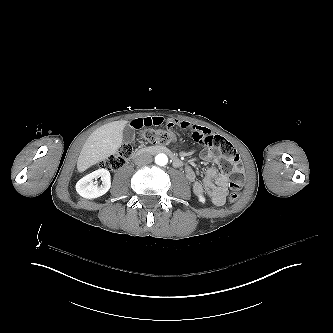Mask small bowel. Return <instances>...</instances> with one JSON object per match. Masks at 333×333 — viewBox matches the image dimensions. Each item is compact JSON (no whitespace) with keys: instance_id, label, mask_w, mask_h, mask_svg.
I'll return each mask as SVG.
<instances>
[{"instance_id":"small-bowel-1","label":"small bowel","mask_w":333,"mask_h":333,"mask_svg":"<svg viewBox=\"0 0 333 333\" xmlns=\"http://www.w3.org/2000/svg\"><path fill=\"white\" fill-rule=\"evenodd\" d=\"M164 123V118L160 116L144 117L135 119L132 121V126L135 128L159 126ZM171 126L186 127L187 123L171 119L169 120ZM194 132L207 134L206 129L197 127ZM213 158V152L208 151L206 159L211 160ZM186 178L193 183V191L196 196H201L207 193L212 204L215 206H222L226 202L227 187L229 185L228 175L220 173L217 168L210 167L206 170L203 181H197L196 175L192 167L187 166L185 168Z\"/></svg>"}]
</instances>
